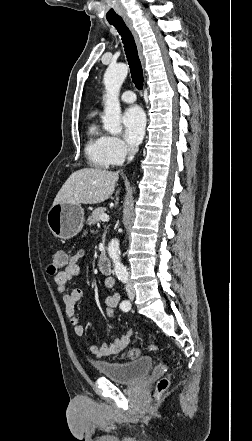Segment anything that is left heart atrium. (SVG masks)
<instances>
[{
    "label": "left heart atrium",
    "mask_w": 252,
    "mask_h": 441,
    "mask_svg": "<svg viewBox=\"0 0 252 441\" xmlns=\"http://www.w3.org/2000/svg\"><path fill=\"white\" fill-rule=\"evenodd\" d=\"M124 137L128 144L136 146L140 143L145 132L146 119L144 112L138 106L128 108L123 117Z\"/></svg>",
    "instance_id": "obj_1"
}]
</instances>
